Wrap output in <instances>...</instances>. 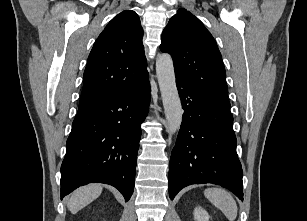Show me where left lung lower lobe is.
I'll use <instances>...</instances> for the list:
<instances>
[{
  "label": "left lung lower lobe",
  "mask_w": 307,
  "mask_h": 221,
  "mask_svg": "<svg viewBox=\"0 0 307 221\" xmlns=\"http://www.w3.org/2000/svg\"><path fill=\"white\" fill-rule=\"evenodd\" d=\"M184 114L169 165V197L191 184L212 183L243 200L242 167L233 117L226 108L176 76Z\"/></svg>",
  "instance_id": "left-lung-lower-lobe-1"
}]
</instances>
